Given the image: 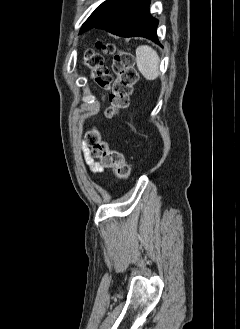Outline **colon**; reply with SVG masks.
<instances>
[{"label":"colon","instance_id":"5ec220e1","mask_svg":"<svg viewBox=\"0 0 240 329\" xmlns=\"http://www.w3.org/2000/svg\"><path fill=\"white\" fill-rule=\"evenodd\" d=\"M99 46L106 52L113 54V72L116 75L114 81L104 65L103 56L92 49H85L83 56L85 64L91 68V74L96 84L103 89H110V108L108 115L128 107L133 86L137 80V72L134 68V57L128 51L117 50L112 44L100 43ZM85 144L90 155L101 161L104 167L114 170L117 177L127 179L131 174L130 165L124 155L117 149L110 148L104 141L98 129L92 127L85 135Z\"/></svg>","mask_w":240,"mask_h":329}]
</instances>
